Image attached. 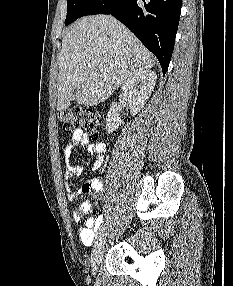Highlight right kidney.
I'll return each instance as SVG.
<instances>
[{"label": "right kidney", "instance_id": "obj_1", "mask_svg": "<svg viewBox=\"0 0 233 286\" xmlns=\"http://www.w3.org/2000/svg\"><path fill=\"white\" fill-rule=\"evenodd\" d=\"M156 79L157 76L155 72L142 70L134 73L123 83L122 93L126 97L132 115L137 114L149 99L156 84ZM118 109V103L113 102L106 118V129L108 134H111L124 123L121 118H119Z\"/></svg>", "mask_w": 233, "mask_h": 286}]
</instances>
